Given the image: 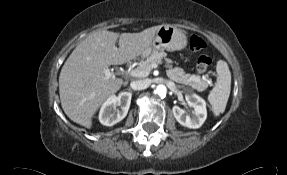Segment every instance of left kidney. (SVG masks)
Here are the masks:
<instances>
[{"instance_id":"5707ae66","label":"left kidney","mask_w":287,"mask_h":175,"mask_svg":"<svg viewBox=\"0 0 287 175\" xmlns=\"http://www.w3.org/2000/svg\"><path fill=\"white\" fill-rule=\"evenodd\" d=\"M189 107L194 108L193 115H185V111L179 106L172 108L174 117L183 126L196 129L202 126L207 118L206 102L198 95L192 93L185 96Z\"/></svg>"}]
</instances>
